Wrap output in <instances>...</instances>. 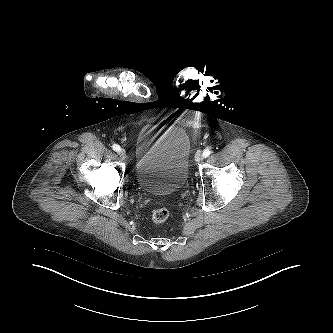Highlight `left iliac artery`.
<instances>
[{"label":"left iliac artery","mask_w":333,"mask_h":333,"mask_svg":"<svg viewBox=\"0 0 333 333\" xmlns=\"http://www.w3.org/2000/svg\"><path fill=\"white\" fill-rule=\"evenodd\" d=\"M211 154V150L210 149H205L204 152H203V157H208L209 155Z\"/></svg>","instance_id":"1"}]
</instances>
